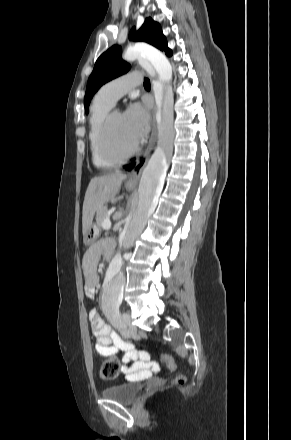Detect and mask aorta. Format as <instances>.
Returning a JSON list of instances; mask_svg holds the SVG:
<instances>
[{"label":"aorta","mask_w":291,"mask_h":440,"mask_svg":"<svg viewBox=\"0 0 291 440\" xmlns=\"http://www.w3.org/2000/svg\"><path fill=\"white\" fill-rule=\"evenodd\" d=\"M123 59L127 62H133L137 59L147 60L159 76V79L153 82L159 143L143 170L135 207L121 235L120 245L124 249H129L143 231L149 216L156 208L168 169V155L163 146L162 129L166 121L165 106L168 99L165 94V83H169L172 79V65L163 53L146 44H135L128 47L123 54ZM118 262L116 259L115 266L103 287V300L113 305H118L121 302L125 285V276L118 266Z\"/></svg>","instance_id":"762f6f07"}]
</instances>
